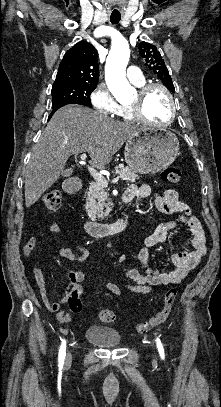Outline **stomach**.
<instances>
[{"label": "stomach", "mask_w": 221, "mask_h": 407, "mask_svg": "<svg viewBox=\"0 0 221 407\" xmlns=\"http://www.w3.org/2000/svg\"><path fill=\"white\" fill-rule=\"evenodd\" d=\"M178 151V138L171 131L141 128L127 140L124 158L132 170L155 174L172 164Z\"/></svg>", "instance_id": "stomach-1"}]
</instances>
